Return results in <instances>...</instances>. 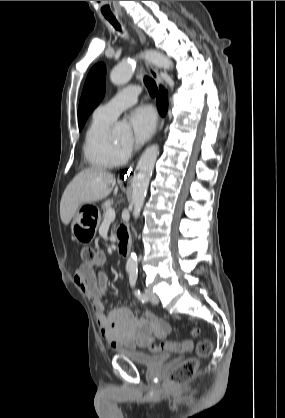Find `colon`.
Returning a JSON list of instances; mask_svg holds the SVG:
<instances>
[{"label":"colon","instance_id":"obj_1","mask_svg":"<svg viewBox=\"0 0 285 418\" xmlns=\"http://www.w3.org/2000/svg\"><path fill=\"white\" fill-rule=\"evenodd\" d=\"M81 259L84 263H92L97 252L92 247H85L81 250ZM199 329H194L192 334L198 336ZM190 349V340L183 341H163L150 346V350L159 352L180 353ZM213 349V341L209 338L201 339L196 346V355L185 359L175 366L169 373L165 386L168 388L183 385L191 380L195 375L200 363L205 359Z\"/></svg>","mask_w":285,"mask_h":418}]
</instances>
